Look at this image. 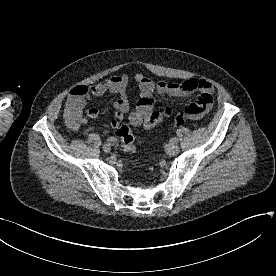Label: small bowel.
I'll list each match as a JSON object with an SVG mask.
<instances>
[{
	"mask_svg": "<svg viewBox=\"0 0 276 276\" xmlns=\"http://www.w3.org/2000/svg\"><path fill=\"white\" fill-rule=\"evenodd\" d=\"M134 80L138 85L140 94L137 100V112L145 123L146 116L153 112L157 115L156 124L163 118L171 115L169 109L163 111L154 110L153 92L166 94L176 97L188 96L194 92H198V97L194 103L189 104L199 112L189 115V118L197 119L202 117L213 104L214 86L205 79L190 78L179 83L159 81L155 83L150 78L138 73L134 76ZM129 77L126 74L114 75L102 82L90 86H77L73 88L66 99L65 112L69 126L73 129L79 128L80 125L86 123L83 114L89 118H96L99 114L95 107H87L86 102L91 97H104L106 95H117L118 98L114 103L115 111L111 120V126L118 128L121 124L123 116L129 111L130 103L127 94ZM75 118V122L71 118ZM155 124V125H156ZM147 126V125H146ZM149 127V126H147Z\"/></svg>",
	"mask_w": 276,
	"mask_h": 276,
	"instance_id": "small-bowel-1",
	"label": "small bowel"
}]
</instances>
